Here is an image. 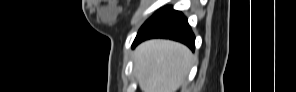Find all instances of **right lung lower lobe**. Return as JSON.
Masks as SVG:
<instances>
[{"label":"right lung lower lobe","mask_w":296,"mask_h":92,"mask_svg":"<svg viewBox=\"0 0 296 92\" xmlns=\"http://www.w3.org/2000/svg\"><path fill=\"white\" fill-rule=\"evenodd\" d=\"M169 38L180 41L195 48V36L187 22V19L179 11L171 6L164 7L157 11L140 28L132 47L149 38Z\"/></svg>","instance_id":"1"}]
</instances>
